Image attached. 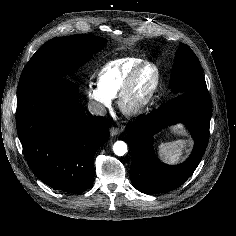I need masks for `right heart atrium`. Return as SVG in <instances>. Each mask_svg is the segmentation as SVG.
<instances>
[{
	"label": "right heart atrium",
	"mask_w": 236,
	"mask_h": 236,
	"mask_svg": "<svg viewBox=\"0 0 236 236\" xmlns=\"http://www.w3.org/2000/svg\"><path fill=\"white\" fill-rule=\"evenodd\" d=\"M88 98L93 102L99 112L110 108L112 98H110L98 84L91 83L87 89Z\"/></svg>",
	"instance_id": "d8ad5b80"
}]
</instances>
